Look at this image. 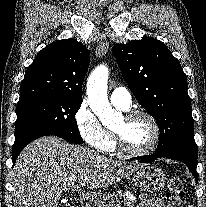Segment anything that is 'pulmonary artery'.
<instances>
[{
	"mask_svg": "<svg viewBox=\"0 0 206 207\" xmlns=\"http://www.w3.org/2000/svg\"><path fill=\"white\" fill-rule=\"evenodd\" d=\"M111 102L121 107L124 110H128L131 107V94L130 92L124 87H116L113 89L110 95Z\"/></svg>",
	"mask_w": 206,
	"mask_h": 207,
	"instance_id": "pulmonary-artery-1",
	"label": "pulmonary artery"
}]
</instances>
